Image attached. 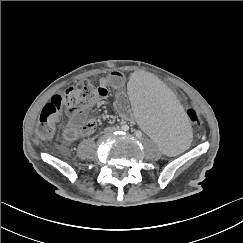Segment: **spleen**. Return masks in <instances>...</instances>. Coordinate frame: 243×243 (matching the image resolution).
I'll list each match as a JSON object with an SVG mask.
<instances>
[{
    "mask_svg": "<svg viewBox=\"0 0 243 243\" xmlns=\"http://www.w3.org/2000/svg\"><path fill=\"white\" fill-rule=\"evenodd\" d=\"M128 99L135 123L158 150L177 155L188 149L192 125L163 79L149 72L135 75L128 86Z\"/></svg>",
    "mask_w": 243,
    "mask_h": 243,
    "instance_id": "3e777b00",
    "label": "spleen"
}]
</instances>
